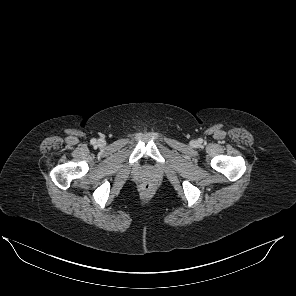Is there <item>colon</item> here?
<instances>
[{
	"label": "colon",
	"instance_id": "5ec220e1",
	"mask_svg": "<svg viewBox=\"0 0 296 296\" xmlns=\"http://www.w3.org/2000/svg\"><path fill=\"white\" fill-rule=\"evenodd\" d=\"M142 189L144 192L148 193L153 189V186L151 184H145L143 185Z\"/></svg>",
	"mask_w": 296,
	"mask_h": 296
}]
</instances>
